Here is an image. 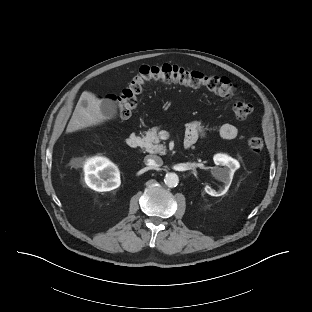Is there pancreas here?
I'll use <instances>...</instances> for the list:
<instances>
[{
  "label": "pancreas",
  "mask_w": 312,
  "mask_h": 312,
  "mask_svg": "<svg viewBox=\"0 0 312 312\" xmlns=\"http://www.w3.org/2000/svg\"><path fill=\"white\" fill-rule=\"evenodd\" d=\"M158 130V127H153L145 132V136H142V146L151 154L165 155L166 146L160 144V138L157 133Z\"/></svg>",
  "instance_id": "obj_1"
}]
</instances>
